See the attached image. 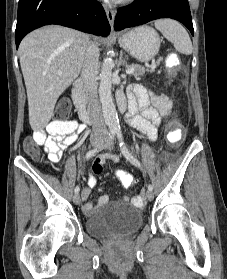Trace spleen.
Wrapping results in <instances>:
<instances>
[{
  "label": "spleen",
  "mask_w": 227,
  "mask_h": 279,
  "mask_svg": "<svg viewBox=\"0 0 227 279\" xmlns=\"http://www.w3.org/2000/svg\"><path fill=\"white\" fill-rule=\"evenodd\" d=\"M157 30L173 43L175 49L186 55L192 53V42L184 27L177 21L171 19H161L154 23Z\"/></svg>",
  "instance_id": "1"
}]
</instances>
